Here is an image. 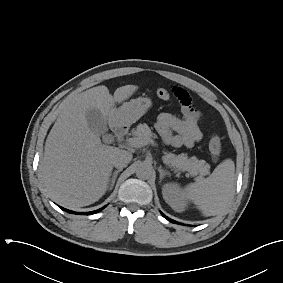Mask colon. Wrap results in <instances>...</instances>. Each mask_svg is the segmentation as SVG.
Here are the masks:
<instances>
[{"label":"colon","mask_w":283,"mask_h":283,"mask_svg":"<svg viewBox=\"0 0 283 283\" xmlns=\"http://www.w3.org/2000/svg\"><path fill=\"white\" fill-rule=\"evenodd\" d=\"M156 95L162 100H168L171 94L167 89L159 88L156 90ZM209 152L214 161H217L221 156L222 143L217 134H213L209 139Z\"/></svg>","instance_id":"obj_1"}]
</instances>
